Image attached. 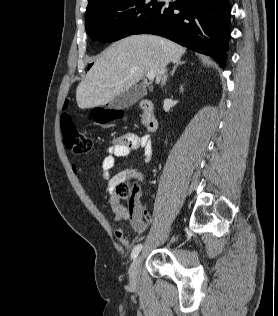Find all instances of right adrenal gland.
I'll use <instances>...</instances> for the list:
<instances>
[{
	"label": "right adrenal gland",
	"mask_w": 278,
	"mask_h": 316,
	"mask_svg": "<svg viewBox=\"0 0 278 316\" xmlns=\"http://www.w3.org/2000/svg\"><path fill=\"white\" fill-rule=\"evenodd\" d=\"M186 62L185 61H181L180 59L178 61H176L173 69H172V72H171V76L174 75L175 71H176V68L179 66V65H183L185 64Z\"/></svg>",
	"instance_id": "1"
}]
</instances>
